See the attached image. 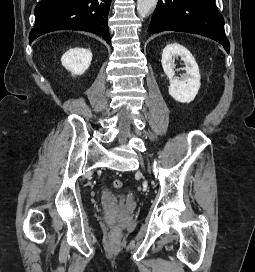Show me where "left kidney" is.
Segmentation results:
<instances>
[{
	"label": "left kidney",
	"mask_w": 255,
	"mask_h": 272,
	"mask_svg": "<svg viewBox=\"0 0 255 272\" xmlns=\"http://www.w3.org/2000/svg\"><path fill=\"white\" fill-rule=\"evenodd\" d=\"M180 57L185 63L184 74L175 76L173 60ZM162 67L169 79V94L178 102L190 103L200 88L199 67L188 49L178 43L168 44L162 53Z\"/></svg>",
	"instance_id": "1"
}]
</instances>
